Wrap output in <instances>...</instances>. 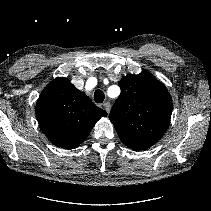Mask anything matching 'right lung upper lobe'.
I'll return each mask as SVG.
<instances>
[{
    "label": "right lung upper lobe",
    "instance_id": "1",
    "mask_svg": "<svg viewBox=\"0 0 211 211\" xmlns=\"http://www.w3.org/2000/svg\"><path fill=\"white\" fill-rule=\"evenodd\" d=\"M36 116L42 132L53 144L74 149L107 113L96 107L67 78L58 77L40 94Z\"/></svg>",
    "mask_w": 211,
    "mask_h": 211
}]
</instances>
